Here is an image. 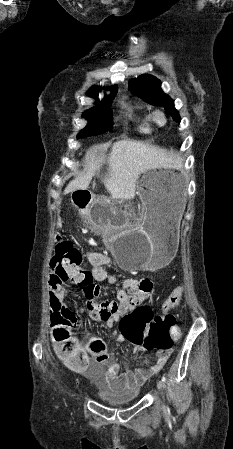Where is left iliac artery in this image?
<instances>
[{"mask_svg":"<svg viewBox=\"0 0 233 449\" xmlns=\"http://www.w3.org/2000/svg\"><path fill=\"white\" fill-rule=\"evenodd\" d=\"M162 381H163V382H165V381H166V378H165V376H163V377H162Z\"/></svg>","mask_w":233,"mask_h":449,"instance_id":"1","label":"left iliac artery"}]
</instances>
